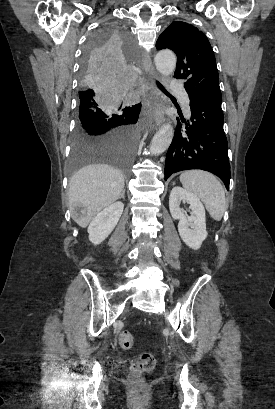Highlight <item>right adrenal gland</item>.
I'll list each match as a JSON object with an SVG mask.
<instances>
[{"mask_svg": "<svg viewBox=\"0 0 275 409\" xmlns=\"http://www.w3.org/2000/svg\"><path fill=\"white\" fill-rule=\"evenodd\" d=\"M124 194H125V188H124V190H122V194H121V196H119V198H124Z\"/></svg>", "mask_w": 275, "mask_h": 409, "instance_id": "2a0ac1e0", "label": "right adrenal gland"}]
</instances>
